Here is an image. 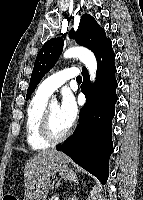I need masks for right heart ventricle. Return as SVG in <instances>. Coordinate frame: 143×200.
I'll return each mask as SVG.
<instances>
[{
	"label": "right heart ventricle",
	"mask_w": 143,
	"mask_h": 200,
	"mask_svg": "<svg viewBox=\"0 0 143 200\" xmlns=\"http://www.w3.org/2000/svg\"><path fill=\"white\" fill-rule=\"evenodd\" d=\"M48 97L49 95L38 89L32 97L27 109L25 121L26 141L33 150H44L50 146L39 134V123L44 108L47 105Z\"/></svg>",
	"instance_id": "right-heart-ventricle-1"
}]
</instances>
